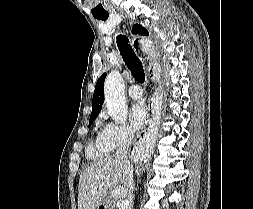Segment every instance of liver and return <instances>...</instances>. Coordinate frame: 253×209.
Wrapping results in <instances>:
<instances>
[{
	"instance_id": "6515ba94",
	"label": "liver",
	"mask_w": 253,
	"mask_h": 209,
	"mask_svg": "<svg viewBox=\"0 0 253 209\" xmlns=\"http://www.w3.org/2000/svg\"><path fill=\"white\" fill-rule=\"evenodd\" d=\"M129 171L127 164L113 156L94 162L79 178L78 209H97L112 196L129 197ZM120 188L115 195L114 189ZM111 193V195H110Z\"/></svg>"
}]
</instances>
